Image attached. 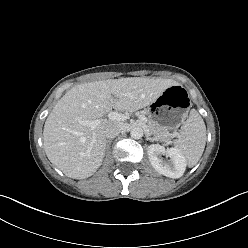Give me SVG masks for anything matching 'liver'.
<instances>
[{
  "instance_id": "obj_1",
  "label": "liver",
  "mask_w": 248,
  "mask_h": 248,
  "mask_svg": "<svg viewBox=\"0 0 248 248\" xmlns=\"http://www.w3.org/2000/svg\"><path fill=\"white\" fill-rule=\"evenodd\" d=\"M171 79L128 77L83 83L71 88L48 115L43 131L48 159L66 176L84 179L101 166L105 148V129L116 121H104L95 129L81 120L102 118L112 108L134 112L149 106L168 87ZM111 95L115 99H110Z\"/></svg>"
}]
</instances>
